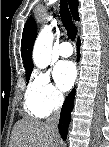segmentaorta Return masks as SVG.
Masks as SVG:
<instances>
[{"mask_svg": "<svg viewBox=\"0 0 109 147\" xmlns=\"http://www.w3.org/2000/svg\"><path fill=\"white\" fill-rule=\"evenodd\" d=\"M53 33L51 26H45L39 33L33 48V62L41 69L46 68L52 55Z\"/></svg>", "mask_w": 109, "mask_h": 147, "instance_id": "obj_1", "label": "aorta"}]
</instances>
